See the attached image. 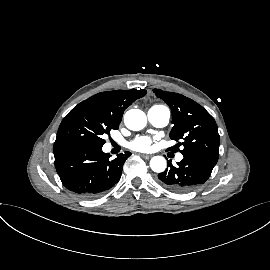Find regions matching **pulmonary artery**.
I'll return each mask as SVG.
<instances>
[{
    "label": "pulmonary artery",
    "mask_w": 270,
    "mask_h": 270,
    "mask_svg": "<svg viewBox=\"0 0 270 270\" xmlns=\"http://www.w3.org/2000/svg\"><path fill=\"white\" fill-rule=\"evenodd\" d=\"M149 122L155 127H164L168 124L170 119V112L166 107L153 106L147 112ZM177 160L183 158L182 154L177 155Z\"/></svg>",
    "instance_id": "e3ab8cb5"
}]
</instances>
